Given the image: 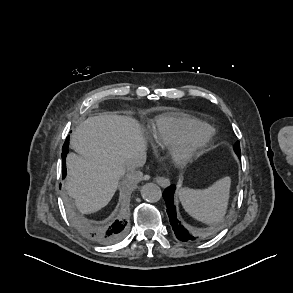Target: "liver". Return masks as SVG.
<instances>
[{
	"label": "liver",
	"instance_id": "obj_1",
	"mask_svg": "<svg viewBox=\"0 0 293 293\" xmlns=\"http://www.w3.org/2000/svg\"><path fill=\"white\" fill-rule=\"evenodd\" d=\"M70 143L78 154L67 156L66 189L83 214L110 202L127 162L146 150L139 124L115 114L87 118L72 133Z\"/></svg>",
	"mask_w": 293,
	"mask_h": 293
}]
</instances>
